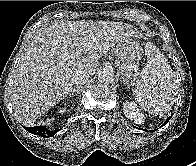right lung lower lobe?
I'll list each match as a JSON object with an SVG mask.
<instances>
[{
	"label": "right lung lower lobe",
	"mask_w": 196,
	"mask_h": 166,
	"mask_svg": "<svg viewBox=\"0 0 196 166\" xmlns=\"http://www.w3.org/2000/svg\"><path fill=\"white\" fill-rule=\"evenodd\" d=\"M26 130L32 134L40 135L44 138H47V137L54 136V134L58 132L60 129L51 131L44 126H34V127H26Z\"/></svg>",
	"instance_id": "98d812e1"
}]
</instances>
